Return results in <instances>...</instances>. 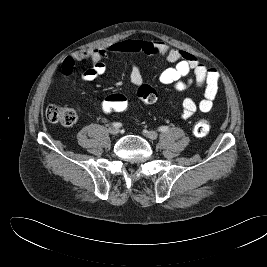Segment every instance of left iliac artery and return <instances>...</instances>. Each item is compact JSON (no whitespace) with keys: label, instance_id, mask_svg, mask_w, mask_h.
Here are the masks:
<instances>
[{"label":"left iliac artery","instance_id":"obj_1","mask_svg":"<svg viewBox=\"0 0 267 267\" xmlns=\"http://www.w3.org/2000/svg\"><path fill=\"white\" fill-rule=\"evenodd\" d=\"M169 130V127L168 126H161V127H159V129H158V131H160V132H166V131H168Z\"/></svg>","mask_w":267,"mask_h":267}]
</instances>
